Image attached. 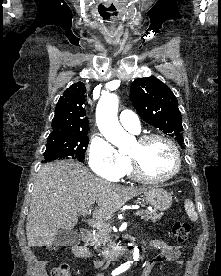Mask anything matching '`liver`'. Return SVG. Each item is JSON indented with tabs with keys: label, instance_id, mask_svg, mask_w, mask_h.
<instances>
[{
	"label": "liver",
	"instance_id": "liver-1",
	"mask_svg": "<svg viewBox=\"0 0 221 276\" xmlns=\"http://www.w3.org/2000/svg\"><path fill=\"white\" fill-rule=\"evenodd\" d=\"M146 191L104 181L72 160L47 163L34 183L26 224L28 245H52L59 229H73L81 212L95 203L94 221L102 223L128 200Z\"/></svg>",
	"mask_w": 221,
	"mask_h": 276
}]
</instances>
